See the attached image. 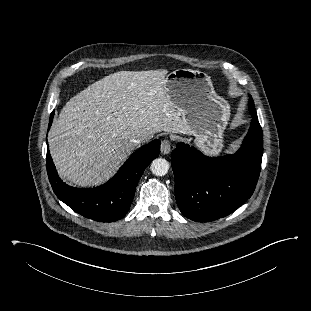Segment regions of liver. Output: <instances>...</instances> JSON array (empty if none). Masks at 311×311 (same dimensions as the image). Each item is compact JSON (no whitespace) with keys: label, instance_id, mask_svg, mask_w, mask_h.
Here are the masks:
<instances>
[{"label":"liver","instance_id":"6515ba94","mask_svg":"<svg viewBox=\"0 0 311 311\" xmlns=\"http://www.w3.org/2000/svg\"><path fill=\"white\" fill-rule=\"evenodd\" d=\"M166 69L119 71L72 97L49 132L59 175L79 187L109 179L135 149L133 137L191 134L166 90Z\"/></svg>","mask_w":311,"mask_h":311}]
</instances>
